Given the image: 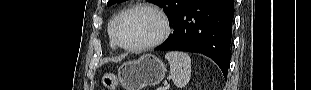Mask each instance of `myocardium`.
<instances>
[{
  "mask_svg": "<svg viewBox=\"0 0 311 90\" xmlns=\"http://www.w3.org/2000/svg\"><path fill=\"white\" fill-rule=\"evenodd\" d=\"M148 11L151 12L153 14H155L158 19L161 22V31L160 34L152 41L145 43V44H141V45H125L121 42V40L119 39L118 36V29L120 27L121 22L124 20V18L126 16H128L130 13L135 12V11ZM171 32V26H170V22L168 17L166 16V14L159 9L156 6L153 5H148V4H139V5H135L132 6L128 9H126L125 11H123L117 18L115 24H114V28H113V38H114V42L115 44L127 51H131V52H141V51H146L149 49H152L158 45H160L161 43H163L167 37L169 36Z\"/></svg>",
  "mask_w": 311,
  "mask_h": 90,
  "instance_id": "1",
  "label": "myocardium"
}]
</instances>
